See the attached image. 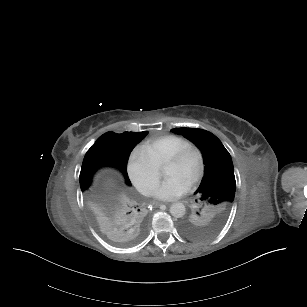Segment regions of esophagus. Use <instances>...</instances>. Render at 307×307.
I'll return each mask as SVG.
<instances>
[{
	"label": "esophagus",
	"mask_w": 307,
	"mask_h": 307,
	"mask_svg": "<svg viewBox=\"0 0 307 307\" xmlns=\"http://www.w3.org/2000/svg\"><path fill=\"white\" fill-rule=\"evenodd\" d=\"M161 205H162V203H159V202L154 203V206H157V207H160Z\"/></svg>",
	"instance_id": "1"
}]
</instances>
